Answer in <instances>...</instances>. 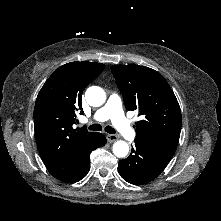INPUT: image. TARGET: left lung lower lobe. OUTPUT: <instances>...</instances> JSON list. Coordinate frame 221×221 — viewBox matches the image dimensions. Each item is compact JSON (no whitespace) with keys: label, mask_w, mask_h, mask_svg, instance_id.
I'll use <instances>...</instances> for the list:
<instances>
[{"label":"left lung lower lobe","mask_w":221,"mask_h":221,"mask_svg":"<svg viewBox=\"0 0 221 221\" xmlns=\"http://www.w3.org/2000/svg\"><path fill=\"white\" fill-rule=\"evenodd\" d=\"M134 142L129 157L119 161L118 172L128 183L142 185L160 175L174 154L145 141Z\"/></svg>","instance_id":"left-lung-lower-lobe-1"}]
</instances>
